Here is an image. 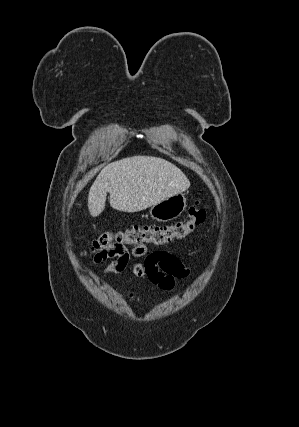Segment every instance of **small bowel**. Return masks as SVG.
I'll return each mask as SVG.
<instances>
[{
	"instance_id": "obj_1",
	"label": "small bowel",
	"mask_w": 299,
	"mask_h": 427,
	"mask_svg": "<svg viewBox=\"0 0 299 427\" xmlns=\"http://www.w3.org/2000/svg\"><path fill=\"white\" fill-rule=\"evenodd\" d=\"M132 257H145L143 263H131ZM130 268L139 279L148 278L149 281L162 290H171L175 281L185 279L190 275V269L173 254L166 251L148 253L146 246H134L131 251L114 256V259L104 267L106 274H119ZM133 297V293L129 294Z\"/></svg>"
}]
</instances>
